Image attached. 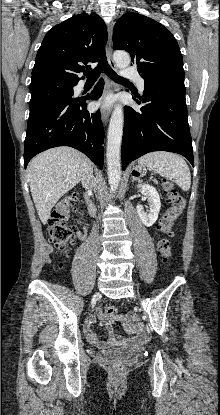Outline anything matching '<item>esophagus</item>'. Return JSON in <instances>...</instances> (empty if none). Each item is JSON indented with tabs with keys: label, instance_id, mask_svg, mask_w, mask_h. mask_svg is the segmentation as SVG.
<instances>
[{
	"label": "esophagus",
	"instance_id": "esophagus-1",
	"mask_svg": "<svg viewBox=\"0 0 220 415\" xmlns=\"http://www.w3.org/2000/svg\"><path fill=\"white\" fill-rule=\"evenodd\" d=\"M112 32H113V25L110 24L109 25V29H108V43H107V50H106V54H107V60L108 63L112 66L115 67L114 61L112 59ZM111 87V84L108 85V88ZM110 116V109L109 108H104L102 110L101 113V117L104 123H106L109 119Z\"/></svg>",
	"mask_w": 220,
	"mask_h": 415
}]
</instances>
